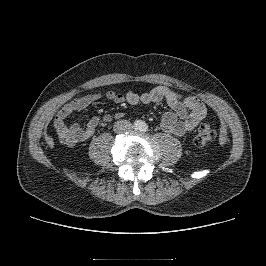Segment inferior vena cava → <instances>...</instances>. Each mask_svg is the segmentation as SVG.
I'll use <instances>...</instances> for the list:
<instances>
[{"label":"inferior vena cava","mask_w":266,"mask_h":266,"mask_svg":"<svg viewBox=\"0 0 266 266\" xmlns=\"http://www.w3.org/2000/svg\"><path fill=\"white\" fill-rule=\"evenodd\" d=\"M132 125L129 121L127 120H119L115 122L114 124V131L116 133H125L129 130H131Z\"/></svg>","instance_id":"inferior-vena-cava-1"}]
</instances>
